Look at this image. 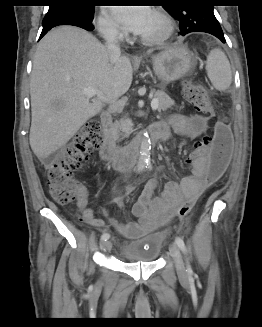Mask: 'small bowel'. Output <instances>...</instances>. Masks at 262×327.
<instances>
[{"label": "small bowel", "instance_id": "small-bowel-1", "mask_svg": "<svg viewBox=\"0 0 262 327\" xmlns=\"http://www.w3.org/2000/svg\"><path fill=\"white\" fill-rule=\"evenodd\" d=\"M158 127L160 140H168L172 132L186 139L194 140L200 138L207 131L209 120L200 114L191 116L178 114L174 115L169 123H158ZM193 160H200L195 163L193 172L179 182L170 181L166 183L158 197H153L154 191L159 186L158 180L151 179L147 182L132 209L138 221L120 223L114 218H110V224L128 238L139 237L166 225L175 214L179 213L177 208L182 206L185 200L195 202L207 187L206 175L209 168L206 159H204V154L189 153L188 159H184V166H193ZM97 179L102 182V175L98 174ZM125 189L129 191L132 186L128 185ZM77 206L84 222L97 228L103 227V221L93 217V211L88 206L85 193H82L78 198Z\"/></svg>", "mask_w": 262, "mask_h": 327}]
</instances>
